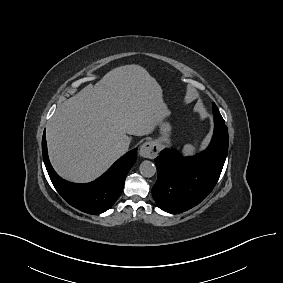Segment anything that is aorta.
<instances>
[{"instance_id": "obj_1", "label": "aorta", "mask_w": 283, "mask_h": 283, "mask_svg": "<svg viewBox=\"0 0 283 283\" xmlns=\"http://www.w3.org/2000/svg\"><path fill=\"white\" fill-rule=\"evenodd\" d=\"M139 170H140L141 175L146 178H150L154 176L156 173L155 165L151 161H148V160H145L140 164Z\"/></svg>"}]
</instances>
